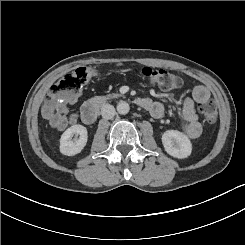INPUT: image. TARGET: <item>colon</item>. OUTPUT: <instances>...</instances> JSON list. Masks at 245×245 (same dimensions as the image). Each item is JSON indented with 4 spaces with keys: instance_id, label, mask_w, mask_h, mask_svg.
<instances>
[{
    "instance_id": "colon-1",
    "label": "colon",
    "mask_w": 245,
    "mask_h": 245,
    "mask_svg": "<svg viewBox=\"0 0 245 245\" xmlns=\"http://www.w3.org/2000/svg\"><path fill=\"white\" fill-rule=\"evenodd\" d=\"M132 71L164 90H170L180 85V78L165 70L151 67L132 68ZM98 71L92 68L79 67L66 73L56 80L43 103L42 112L45 117L51 116L61 101L69 100L83 89ZM199 111L209 123L217 119V110L212 101H204L199 105Z\"/></svg>"
}]
</instances>
